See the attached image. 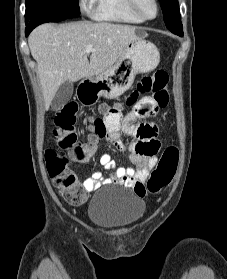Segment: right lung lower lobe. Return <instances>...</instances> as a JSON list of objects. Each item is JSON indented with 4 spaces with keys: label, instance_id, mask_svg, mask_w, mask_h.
Masks as SVG:
<instances>
[{
    "label": "right lung lower lobe",
    "instance_id": "98d812e1",
    "mask_svg": "<svg viewBox=\"0 0 227 279\" xmlns=\"http://www.w3.org/2000/svg\"><path fill=\"white\" fill-rule=\"evenodd\" d=\"M66 18H59V17H53L49 16L47 14H40L36 16L35 18L25 21L26 23V30L25 35L28 36L30 32L38 25L45 23V22H59L62 20H65Z\"/></svg>",
    "mask_w": 227,
    "mask_h": 279
}]
</instances>
